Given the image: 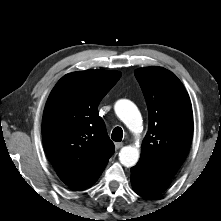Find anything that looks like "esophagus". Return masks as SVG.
Returning <instances> with one entry per match:
<instances>
[{"instance_id": "esophagus-1", "label": "esophagus", "mask_w": 221, "mask_h": 221, "mask_svg": "<svg viewBox=\"0 0 221 221\" xmlns=\"http://www.w3.org/2000/svg\"><path fill=\"white\" fill-rule=\"evenodd\" d=\"M123 147V143L122 142H117V143H115V149L116 150H119L120 148H122Z\"/></svg>"}]
</instances>
